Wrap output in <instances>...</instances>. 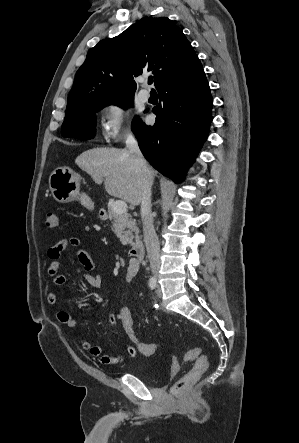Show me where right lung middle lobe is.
I'll use <instances>...</instances> for the list:
<instances>
[{"label":"right lung middle lobe","instance_id":"dd1d6c3e","mask_svg":"<svg viewBox=\"0 0 299 443\" xmlns=\"http://www.w3.org/2000/svg\"><path fill=\"white\" fill-rule=\"evenodd\" d=\"M111 104L122 108L132 106L133 95L93 100L66 108L61 134L64 137L91 139L95 132L96 112Z\"/></svg>","mask_w":299,"mask_h":443}]
</instances>
